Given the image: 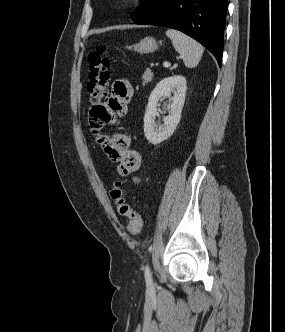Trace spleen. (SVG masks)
<instances>
[{
  "label": "spleen",
  "mask_w": 285,
  "mask_h": 332,
  "mask_svg": "<svg viewBox=\"0 0 285 332\" xmlns=\"http://www.w3.org/2000/svg\"><path fill=\"white\" fill-rule=\"evenodd\" d=\"M166 35L172 40L175 50L182 56L185 66L196 67L203 55V47L191 37L174 29H168Z\"/></svg>",
  "instance_id": "obj_1"
}]
</instances>
